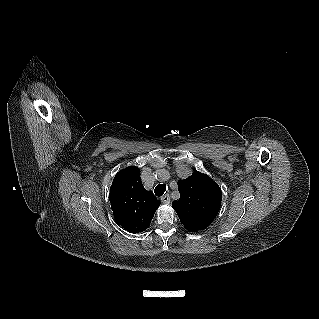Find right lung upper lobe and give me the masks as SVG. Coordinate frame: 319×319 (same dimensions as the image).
<instances>
[{
	"mask_svg": "<svg viewBox=\"0 0 319 319\" xmlns=\"http://www.w3.org/2000/svg\"><path fill=\"white\" fill-rule=\"evenodd\" d=\"M109 199L116 222L134 234L150 226L160 205L153 193L144 188L136 166L117 173L110 187Z\"/></svg>",
	"mask_w": 319,
	"mask_h": 319,
	"instance_id": "right-lung-upper-lobe-1",
	"label": "right lung upper lobe"
}]
</instances>
